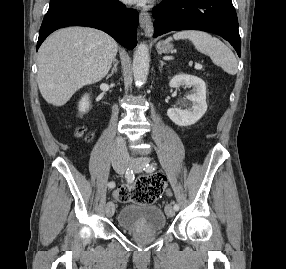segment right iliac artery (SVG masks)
Here are the masks:
<instances>
[{
	"instance_id": "1",
	"label": "right iliac artery",
	"mask_w": 286,
	"mask_h": 269,
	"mask_svg": "<svg viewBox=\"0 0 286 269\" xmlns=\"http://www.w3.org/2000/svg\"><path fill=\"white\" fill-rule=\"evenodd\" d=\"M125 177H126V179H127V181H128L129 183H132V182H133V180H134V174H133V170H132L131 167L127 169L126 174H125ZM108 186H109L110 188H114V187H115V183H114V182H109V183H108Z\"/></svg>"
}]
</instances>
